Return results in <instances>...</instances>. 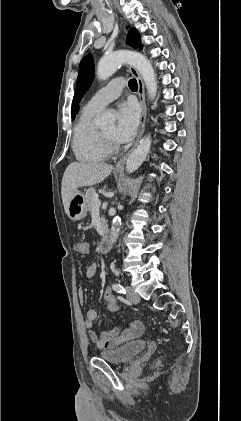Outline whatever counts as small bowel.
<instances>
[{
    "label": "small bowel",
    "instance_id": "small-bowel-1",
    "mask_svg": "<svg viewBox=\"0 0 241 421\" xmlns=\"http://www.w3.org/2000/svg\"><path fill=\"white\" fill-rule=\"evenodd\" d=\"M97 272V264L92 262L86 269L87 277H93ZM78 299L82 303L84 301V291L82 288L78 290ZM97 318V311L93 308L87 310L84 318V327L88 330L89 340L98 349H113L123 345L126 342L139 338L143 333L145 326L139 320L131 321L127 327H117L113 330H103L97 334L92 330L93 324Z\"/></svg>",
    "mask_w": 241,
    "mask_h": 421
}]
</instances>
